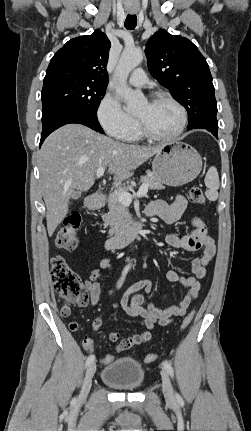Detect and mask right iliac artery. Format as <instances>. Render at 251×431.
Returning <instances> with one entry per match:
<instances>
[{
  "mask_svg": "<svg viewBox=\"0 0 251 431\" xmlns=\"http://www.w3.org/2000/svg\"><path fill=\"white\" fill-rule=\"evenodd\" d=\"M127 272H128V268H125L124 270H123V273H122V276H121V278H120V280L118 281V283H117V288H120L121 286H122V284H123V282H124V279H125V276H126V274H127ZM94 360H95V356L94 355H90L88 358H87V360H86V367L87 366H89L91 363H93L94 362Z\"/></svg>",
  "mask_w": 251,
  "mask_h": 431,
  "instance_id": "1",
  "label": "right iliac artery"
}]
</instances>
